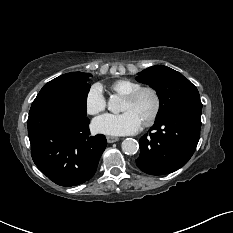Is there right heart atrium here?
Here are the masks:
<instances>
[{
	"label": "right heart atrium",
	"mask_w": 233,
	"mask_h": 233,
	"mask_svg": "<svg viewBox=\"0 0 233 233\" xmlns=\"http://www.w3.org/2000/svg\"><path fill=\"white\" fill-rule=\"evenodd\" d=\"M85 108L91 115L98 114L106 108V98L100 84H94L88 90L85 97Z\"/></svg>",
	"instance_id": "right-heart-atrium-1"
}]
</instances>
